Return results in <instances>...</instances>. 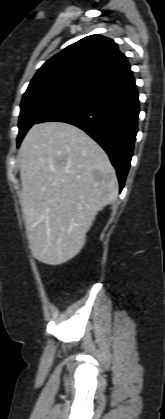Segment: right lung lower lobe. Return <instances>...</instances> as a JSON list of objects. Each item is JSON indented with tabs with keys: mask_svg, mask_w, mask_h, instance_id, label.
I'll return each instance as SVG.
<instances>
[{
	"mask_svg": "<svg viewBox=\"0 0 165 419\" xmlns=\"http://www.w3.org/2000/svg\"><path fill=\"white\" fill-rule=\"evenodd\" d=\"M139 100L132 72L50 111L37 123L61 121L88 133L107 152L124 187L137 134Z\"/></svg>",
	"mask_w": 165,
	"mask_h": 419,
	"instance_id": "98d812e1",
	"label": "right lung lower lobe"
}]
</instances>
